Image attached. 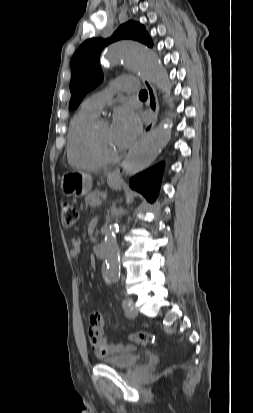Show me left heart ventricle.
I'll return each mask as SVG.
<instances>
[{
  "label": "left heart ventricle",
  "instance_id": "obj_1",
  "mask_svg": "<svg viewBox=\"0 0 253 413\" xmlns=\"http://www.w3.org/2000/svg\"><path fill=\"white\" fill-rule=\"evenodd\" d=\"M98 140H99L101 147L106 152L111 153V152H116L119 150V147L117 146L113 133H112L111 125L108 123H104L99 127Z\"/></svg>",
  "mask_w": 253,
  "mask_h": 413
}]
</instances>
